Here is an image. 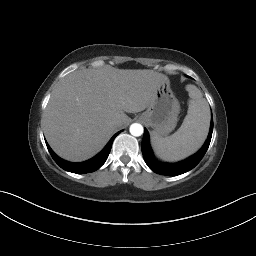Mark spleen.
<instances>
[{
	"label": "spleen",
	"mask_w": 256,
	"mask_h": 256,
	"mask_svg": "<svg viewBox=\"0 0 256 256\" xmlns=\"http://www.w3.org/2000/svg\"><path fill=\"white\" fill-rule=\"evenodd\" d=\"M190 100L187 115L181 127L171 136L162 138L152 133L151 144L155 154L165 161H178L196 152L205 141L210 123V110L201 91L188 85Z\"/></svg>",
	"instance_id": "1"
}]
</instances>
